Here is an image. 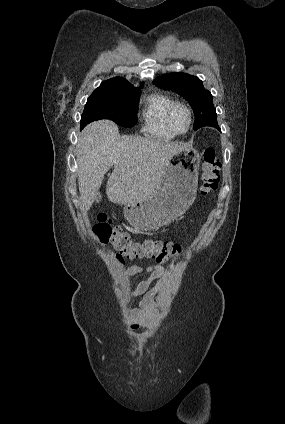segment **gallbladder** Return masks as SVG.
<instances>
[{"instance_id":"gallbladder-1","label":"gallbladder","mask_w":285,"mask_h":424,"mask_svg":"<svg viewBox=\"0 0 285 424\" xmlns=\"http://www.w3.org/2000/svg\"><path fill=\"white\" fill-rule=\"evenodd\" d=\"M101 199H102V196H101L100 192H97L96 197H95V202L99 203L101 201Z\"/></svg>"}]
</instances>
